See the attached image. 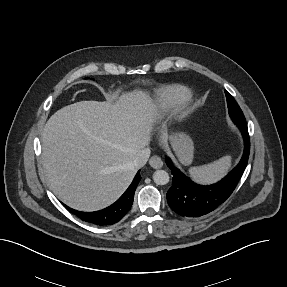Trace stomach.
<instances>
[{
  "label": "stomach",
  "instance_id": "stomach-1",
  "mask_svg": "<svg viewBox=\"0 0 287 287\" xmlns=\"http://www.w3.org/2000/svg\"><path fill=\"white\" fill-rule=\"evenodd\" d=\"M170 141L179 161L184 165L190 164L194 151L192 139L184 133H177L170 137Z\"/></svg>",
  "mask_w": 287,
  "mask_h": 287
}]
</instances>
